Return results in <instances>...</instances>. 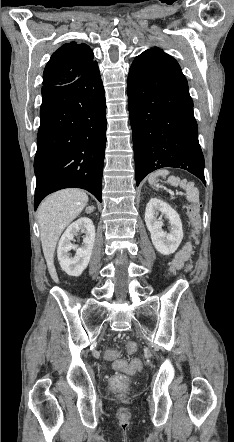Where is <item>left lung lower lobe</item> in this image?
Returning <instances> with one entry per match:
<instances>
[{
    "mask_svg": "<svg viewBox=\"0 0 234 442\" xmlns=\"http://www.w3.org/2000/svg\"><path fill=\"white\" fill-rule=\"evenodd\" d=\"M127 93L137 186L163 167L185 169L205 184L193 101L176 60L160 51L140 54L130 67Z\"/></svg>",
    "mask_w": 234,
    "mask_h": 442,
    "instance_id": "left-lung-lower-lobe-1",
    "label": "left lung lower lobe"
}]
</instances>
